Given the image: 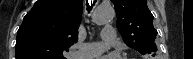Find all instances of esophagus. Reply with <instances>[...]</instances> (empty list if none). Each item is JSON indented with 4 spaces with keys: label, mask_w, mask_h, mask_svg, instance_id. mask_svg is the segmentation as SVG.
<instances>
[{
    "label": "esophagus",
    "mask_w": 193,
    "mask_h": 59,
    "mask_svg": "<svg viewBox=\"0 0 193 59\" xmlns=\"http://www.w3.org/2000/svg\"><path fill=\"white\" fill-rule=\"evenodd\" d=\"M89 5L91 6V4L93 5L94 3L97 4L98 1L97 0H89L88 1Z\"/></svg>",
    "instance_id": "1"
}]
</instances>
